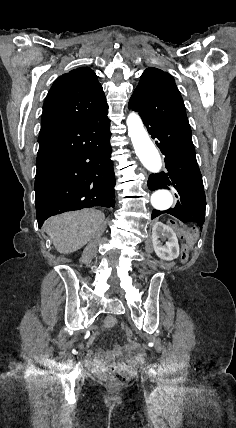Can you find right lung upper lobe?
Instances as JSON below:
<instances>
[{
  "instance_id": "obj_1",
  "label": "right lung upper lobe",
  "mask_w": 236,
  "mask_h": 428,
  "mask_svg": "<svg viewBox=\"0 0 236 428\" xmlns=\"http://www.w3.org/2000/svg\"><path fill=\"white\" fill-rule=\"evenodd\" d=\"M108 112L96 74L79 67L58 77L43 105L40 134L80 124Z\"/></svg>"
}]
</instances>
